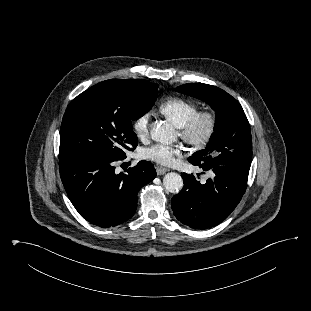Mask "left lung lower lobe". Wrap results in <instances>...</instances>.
Listing matches in <instances>:
<instances>
[{"label":"left lung lower lobe","mask_w":311,"mask_h":311,"mask_svg":"<svg viewBox=\"0 0 311 311\" xmlns=\"http://www.w3.org/2000/svg\"><path fill=\"white\" fill-rule=\"evenodd\" d=\"M200 168L210 171L212 177L201 184L193 174L183 173L184 187L173 196L171 206L181 223L208 229L225 220L238 205L247 187L249 169L225 165Z\"/></svg>","instance_id":"left-lung-lower-lobe-1"}]
</instances>
